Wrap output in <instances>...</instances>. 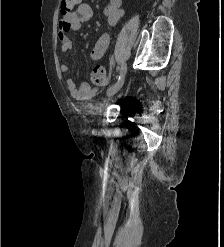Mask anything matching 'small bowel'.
<instances>
[{
	"instance_id": "obj_1",
	"label": "small bowel",
	"mask_w": 224,
	"mask_h": 247,
	"mask_svg": "<svg viewBox=\"0 0 224 247\" xmlns=\"http://www.w3.org/2000/svg\"><path fill=\"white\" fill-rule=\"evenodd\" d=\"M125 10L122 7V0H110L104 8V15L107 18L109 27L115 26L118 21L124 16ZM93 10L90 5L86 3L79 4L77 8L64 16L59 23L58 38L61 44V51L68 52L72 49V41L67 33L70 31H77L82 24L90 21L93 18ZM110 37L108 33H102L89 52V58L92 61L101 59L109 45ZM60 69L63 73L69 71V65L61 64ZM65 84L71 96L78 100H87L92 98L97 93L96 87H91L88 83H83L79 87L76 86L71 77L65 79Z\"/></svg>"
}]
</instances>
